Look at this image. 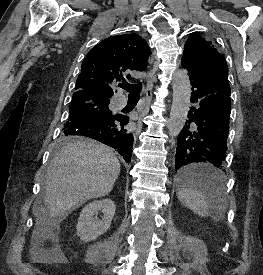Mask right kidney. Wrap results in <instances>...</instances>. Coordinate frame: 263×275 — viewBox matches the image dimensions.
Returning a JSON list of instances; mask_svg holds the SVG:
<instances>
[{
	"instance_id": "right-kidney-1",
	"label": "right kidney",
	"mask_w": 263,
	"mask_h": 275,
	"mask_svg": "<svg viewBox=\"0 0 263 275\" xmlns=\"http://www.w3.org/2000/svg\"><path fill=\"white\" fill-rule=\"evenodd\" d=\"M103 212L102 219L94 217ZM115 214V204L111 199L95 200L86 205L80 213L76 226L77 235L82 241L89 242L104 234L111 225Z\"/></svg>"
}]
</instances>
